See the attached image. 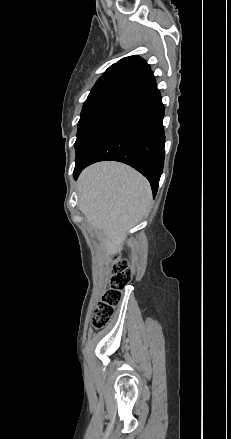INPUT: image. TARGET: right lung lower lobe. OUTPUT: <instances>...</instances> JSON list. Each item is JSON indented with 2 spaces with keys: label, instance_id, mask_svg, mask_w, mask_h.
<instances>
[{
  "label": "right lung lower lobe",
  "instance_id": "right-lung-lower-lobe-1",
  "mask_svg": "<svg viewBox=\"0 0 231 439\" xmlns=\"http://www.w3.org/2000/svg\"><path fill=\"white\" fill-rule=\"evenodd\" d=\"M135 98L141 114L105 132L76 161L74 178L94 162L115 160L142 173L151 183L155 197L164 165V107L156 84L138 93Z\"/></svg>",
  "mask_w": 231,
  "mask_h": 439
}]
</instances>
